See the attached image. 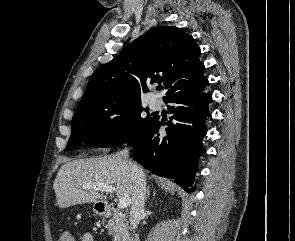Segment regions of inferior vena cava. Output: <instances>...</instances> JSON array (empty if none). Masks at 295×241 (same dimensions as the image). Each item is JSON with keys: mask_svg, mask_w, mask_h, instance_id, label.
Segmentation results:
<instances>
[{"mask_svg": "<svg viewBox=\"0 0 295 241\" xmlns=\"http://www.w3.org/2000/svg\"><path fill=\"white\" fill-rule=\"evenodd\" d=\"M119 156L124 160H127L131 170V178L134 185L132 204L130 210V224L132 229L135 230L139 224L142 214L144 213L146 182L144 172L140 167L131 163L129 158L128 149H123Z\"/></svg>", "mask_w": 295, "mask_h": 241, "instance_id": "1", "label": "inferior vena cava"}]
</instances>
